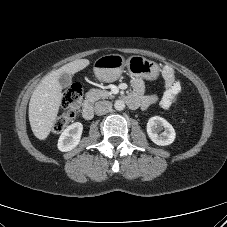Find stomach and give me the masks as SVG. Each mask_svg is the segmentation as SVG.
Returning <instances> with one entry per match:
<instances>
[{"instance_id":"stomach-1","label":"stomach","mask_w":227,"mask_h":227,"mask_svg":"<svg viewBox=\"0 0 227 227\" xmlns=\"http://www.w3.org/2000/svg\"><path fill=\"white\" fill-rule=\"evenodd\" d=\"M125 68L131 76L148 80L157 78L159 74L157 63L137 55L128 59L119 54L101 56L94 62L93 70L99 80L113 82L120 77Z\"/></svg>"}]
</instances>
